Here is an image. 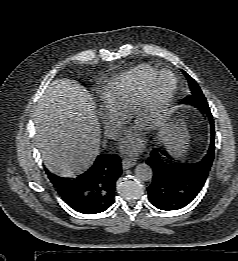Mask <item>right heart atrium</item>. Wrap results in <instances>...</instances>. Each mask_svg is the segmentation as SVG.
Masks as SVG:
<instances>
[{
	"mask_svg": "<svg viewBox=\"0 0 238 261\" xmlns=\"http://www.w3.org/2000/svg\"><path fill=\"white\" fill-rule=\"evenodd\" d=\"M100 120L109 138H114L125 123V116L102 109L99 112Z\"/></svg>",
	"mask_w": 238,
	"mask_h": 261,
	"instance_id": "right-heart-atrium-1",
	"label": "right heart atrium"
}]
</instances>
